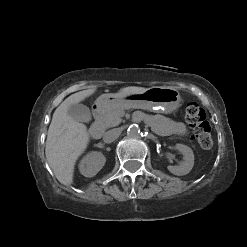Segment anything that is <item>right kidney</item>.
<instances>
[{
	"label": "right kidney",
	"instance_id": "1",
	"mask_svg": "<svg viewBox=\"0 0 247 247\" xmlns=\"http://www.w3.org/2000/svg\"><path fill=\"white\" fill-rule=\"evenodd\" d=\"M105 162L106 158L101 152H90L80 161V173L85 177H93L102 169Z\"/></svg>",
	"mask_w": 247,
	"mask_h": 247
}]
</instances>
